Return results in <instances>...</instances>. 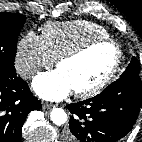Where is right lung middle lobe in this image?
<instances>
[{"label": "right lung middle lobe", "mask_w": 142, "mask_h": 142, "mask_svg": "<svg viewBox=\"0 0 142 142\" xmlns=\"http://www.w3.org/2000/svg\"><path fill=\"white\" fill-rule=\"evenodd\" d=\"M25 17L16 13H0V76L16 75L14 60L18 35Z\"/></svg>", "instance_id": "right-lung-middle-lobe-1"}]
</instances>
